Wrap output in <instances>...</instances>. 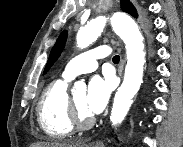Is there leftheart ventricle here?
<instances>
[{"label": "left heart ventricle", "instance_id": "obj_1", "mask_svg": "<svg viewBox=\"0 0 183 147\" xmlns=\"http://www.w3.org/2000/svg\"><path fill=\"white\" fill-rule=\"evenodd\" d=\"M73 100H74L77 108L79 109V111L82 113V115L91 116L85 108V101H86L85 93L79 94L78 96L74 97Z\"/></svg>", "mask_w": 183, "mask_h": 147}]
</instances>
